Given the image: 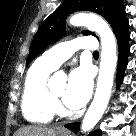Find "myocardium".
I'll list each match as a JSON object with an SVG mask.
<instances>
[{
  "label": "myocardium",
  "instance_id": "f54148a6",
  "mask_svg": "<svg viewBox=\"0 0 136 136\" xmlns=\"http://www.w3.org/2000/svg\"><path fill=\"white\" fill-rule=\"evenodd\" d=\"M51 97L55 104H59V96L53 93V91H50Z\"/></svg>",
  "mask_w": 136,
  "mask_h": 136
}]
</instances>
